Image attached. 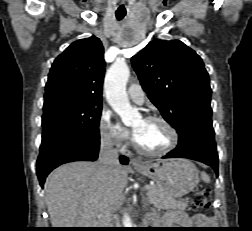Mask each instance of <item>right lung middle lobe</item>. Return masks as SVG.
<instances>
[{
    "mask_svg": "<svg viewBox=\"0 0 252 231\" xmlns=\"http://www.w3.org/2000/svg\"><path fill=\"white\" fill-rule=\"evenodd\" d=\"M102 101L57 95L45 99L43 106L42 141L59 134H78L93 138L99 136Z\"/></svg>",
    "mask_w": 252,
    "mask_h": 231,
    "instance_id": "1",
    "label": "right lung middle lobe"
}]
</instances>
